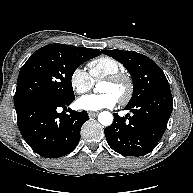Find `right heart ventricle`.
I'll list each match as a JSON object with an SVG mask.
<instances>
[{
  "instance_id": "1",
  "label": "right heart ventricle",
  "mask_w": 193,
  "mask_h": 193,
  "mask_svg": "<svg viewBox=\"0 0 193 193\" xmlns=\"http://www.w3.org/2000/svg\"><path fill=\"white\" fill-rule=\"evenodd\" d=\"M89 74L93 81H98L106 76L124 72L125 66L116 58L100 56L88 63Z\"/></svg>"
}]
</instances>
